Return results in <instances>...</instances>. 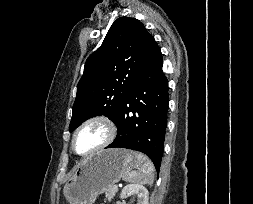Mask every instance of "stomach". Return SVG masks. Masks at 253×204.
<instances>
[{
  "label": "stomach",
  "mask_w": 253,
  "mask_h": 204,
  "mask_svg": "<svg viewBox=\"0 0 253 204\" xmlns=\"http://www.w3.org/2000/svg\"><path fill=\"white\" fill-rule=\"evenodd\" d=\"M138 165L137 153L107 149L83 160L63 188L69 204H93L97 196L119 182Z\"/></svg>",
  "instance_id": "stomach-1"
}]
</instances>
